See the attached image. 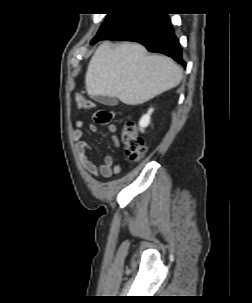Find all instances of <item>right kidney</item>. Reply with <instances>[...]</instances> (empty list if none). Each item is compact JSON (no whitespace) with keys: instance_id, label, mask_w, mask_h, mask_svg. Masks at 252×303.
<instances>
[{"instance_id":"obj_1","label":"right kidney","mask_w":252,"mask_h":303,"mask_svg":"<svg viewBox=\"0 0 252 303\" xmlns=\"http://www.w3.org/2000/svg\"><path fill=\"white\" fill-rule=\"evenodd\" d=\"M153 112V109H149L147 114L143 115L139 121L140 130L143 132V129L147 127L150 123V115Z\"/></svg>"}]
</instances>
